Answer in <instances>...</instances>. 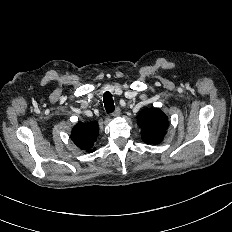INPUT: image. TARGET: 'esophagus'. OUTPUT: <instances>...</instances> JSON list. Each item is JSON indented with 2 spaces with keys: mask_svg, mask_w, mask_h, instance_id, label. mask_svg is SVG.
Wrapping results in <instances>:
<instances>
[{
  "mask_svg": "<svg viewBox=\"0 0 232 232\" xmlns=\"http://www.w3.org/2000/svg\"><path fill=\"white\" fill-rule=\"evenodd\" d=\"M120 114H121V109L119 107H116V109L112 113V116L117 117V116H120Z\"/></svg>",
  "mask_w": 232,
  "mask_h": 232,
  "instance_id": "obj_1",
  "label": "esophagus"
}]
</instances>
